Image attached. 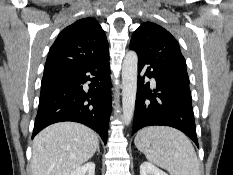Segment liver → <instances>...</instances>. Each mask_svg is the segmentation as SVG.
I'll list each match as a JSON object with an SVG mask.
<instances>
[{"mask_svg": "<svg viewBox=\"0 0 233 175\" xmlns=\"http://www.w3.org/2000/svg\"><path fill=\"white\" fill-rule=\"evenodd\" d=\"M98 146L97 134L83 124H52L33 140L32 175H70L95 154Z\"/></svg>", "mask_w": 233, "mask_h": 175, "instance_id": "1", "label": "liver"}]
</instances>
